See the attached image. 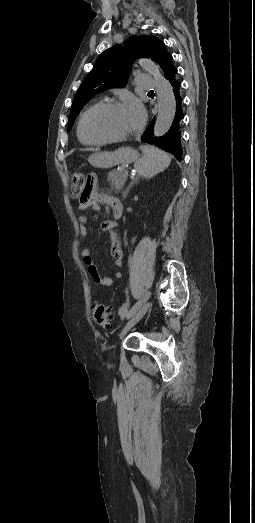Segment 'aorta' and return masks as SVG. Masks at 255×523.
I'll list each match as a JSON object with an SVG mask.
<instances>
[{"label":"aorta","mask_w":255,"mask_h":523,"mask_svg":"<svg viewBox=\"0 0 255 523\" xmlns=\"http://www.w3.org/2000/svg\"><path fill=\"white\" fill-rule=\"evenodd\" d=\"M139 64L154 77L158 99V116L154 126V135L162 136L169 130L174 119L176 104L173 89L154 61L141 59Z\"/></svg>","instance_id":"1"}]
</instances>
